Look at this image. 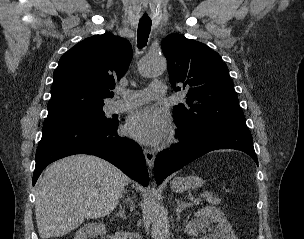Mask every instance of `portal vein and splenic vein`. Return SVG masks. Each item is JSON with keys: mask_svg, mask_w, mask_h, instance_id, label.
<instances>
[{"mask_svg": "<svg viewBox=\"0 0 304 239\" xmlns=\"http://www.w3.org/2000/svg\"><path fill=\"white\" fill-rule=\"evenodd\" d=\"M204 196H205V195H203V197H204ZM193 201H194L195 204H198V203L200 202V198L194 199Z\"/></svg>", "mask_w": 304, "mask_h": 239, "instance_id": "18ae733b", "label": "portal vein and splenic vein"}]
</instances>
